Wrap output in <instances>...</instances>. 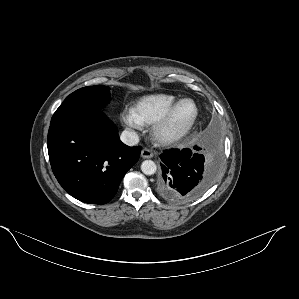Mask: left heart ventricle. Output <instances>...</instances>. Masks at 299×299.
Returning a JSON list of instances; mask_svg holds the SVG:
<instances>
[{"label": "left heart ventricle", "instance_id": "1", "mask_svg": "<svg viewBox=\"0 0 299 299\" xmlns=\"http://www.w3.org/2000/svg\"><path fill=\"white\" fill-rule=\"evenodd\" d=\"M195 112V108L191 103L182 104L173 114L170 124L168 126L169 130H180L184 128L192 119Z\"/></svg>", "mask_w": 299, "mask_h": 299}]
</instances>
